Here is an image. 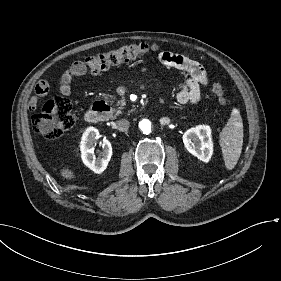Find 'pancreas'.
Returning <instances> with one entry per match:
<instances>
[{
    "label": "pancreas",
    "instance_id": "cf45deb5",
    "mask_svg": "<svg viewBox=\"0 0 281 281\" xmlns=\"http://www.w3.org/2000/svg\"><path fill=\"white\" fill-rule=\"evenodd\" d=\"M119 104L124 105L125 102L124 101H120V102H118V105ZM121 109H122V107H119L118 110H114L115 114H114L113 118H116L118 115H120L122 113Z\"/></svg>",
    "mask_w": 281,
    "mask_h": 281
}]
</instances>
